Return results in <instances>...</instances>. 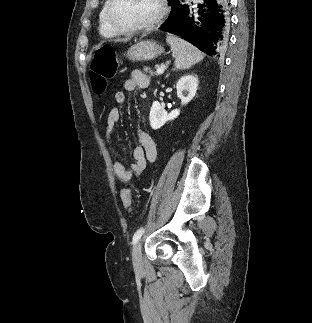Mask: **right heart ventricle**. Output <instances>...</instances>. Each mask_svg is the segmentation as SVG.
I'll list each match as a JSON object with an SVG mask.
<instances>
[{"instance_id": "right-heart-ventricle-1", "label": "right heart ventricle", "mask_w": 312, "mask_h": 323, "mask_svg": "<svg viewBox=\"0 0 312 323\" xmlns=\"http://www.w3.org/2000/svg\"><path fill=\"white\" fill-rule=\"evenodd\" d=\"M95 25H97V33H114L115 22L109 18V13L101 9L99 13H94Z\"/></svg>"}]
</instances>
